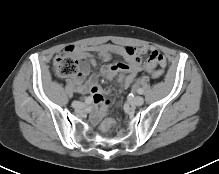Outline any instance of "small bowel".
<instances>
[{
  "label": "small bowel",
  "instance_id": "obj_1",
  "mask_svg": "<svg viewBox=\"0 0 219 174\" xmlns=\"http://www.w3.org/2000/svg\"><path fill=\"white\" fill-rule=\"evenodd\" d=\"M93 52L99 59L108 61L112 54L119 55L125 59V62H114L101 68V74L107 79L119 77L117 82L118 90H125L129 87L138 73L145 69L148 73L159 65L165 67L166 59L164 55L153 48L134 47V46H118L115 44H103L90 48H75V53L80 61V69L78 74L71 78V82L76 90L81 93H89L91 100L95 106L92 109V120L98 122L107 111V107L114 106L113 98H104V92L98 85L97 76H89V67L96 66V61L91 55ZM148 53V54H147ZM146 55L147 64L142 65V55Z\"/></svg>",
  "mask_w": 219,
  "mask_h": 174
}]
</instances>
